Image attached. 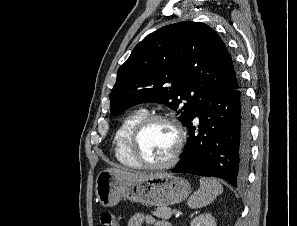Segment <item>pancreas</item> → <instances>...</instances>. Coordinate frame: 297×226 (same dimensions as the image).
Masks as SVG:
<instances>
[{
	"label": "pancreas",
	"mask_w": 297,
	"mask_h": 226,
	"mask_svg": "<svg viewBox=\"0 0 297 226\" xmlns=\"http://www.w3.org/2000/svg\"><path fill=\"white\" fill-rule=\"evenodd\" d=\"M152 214L157 218L168 220L171 218L173 211L168 207H158L152 211Z\"/></svg>",
	"instance_id": "cf45deb5"
}]
</instances>
